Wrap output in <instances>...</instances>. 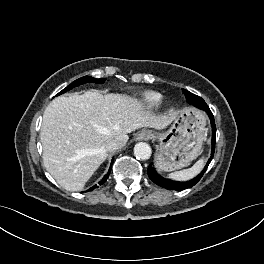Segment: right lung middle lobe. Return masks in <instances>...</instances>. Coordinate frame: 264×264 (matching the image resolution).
<instances>
[{"mask_svg": "<svg viewBox=\"0 0 264 264\" xmlns=\"http://www.w3.org/2000/svg\"><path fill=\"white\" fill-rule=\"evenodd\" d=\"M88 82L102 84L105 82V79H96V78H93L90 76H84V77L79 78V79L75 80L74 82H72L69 86H67L65 89H63L61 92H59L57 95L63 94L66 91H68V90H70L76 86H79L81 84L88 83Z\"/></svg>", "mask_w": 264, "mask_h": 264, "instance_id": "obj_1", "label": "right lung middle lobe"}]
</instances>
